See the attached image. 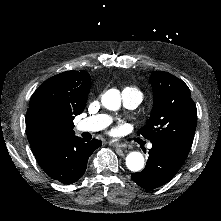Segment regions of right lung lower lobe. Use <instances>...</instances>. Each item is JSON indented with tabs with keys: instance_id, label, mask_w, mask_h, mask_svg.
Instances as JSON below:
<instances>
[{
	"instance_id": "98d812e1",
	"label": "right lung lower lobe",
	"mask_w": 221,
	"mask_h": 221,
	"mask_svg": "<svg viewBox=\"0 0 221 221\" xmlns=\"http://www.w3.org/2000/svg\"><path fill=\"white\" fill-rule=\"evenodd\" d=\"M100 146L97 139L85 142L73 135L35 158L49 177L63 184H72L83 176L89 156Z\"/></svg>"
}]
</instances>
